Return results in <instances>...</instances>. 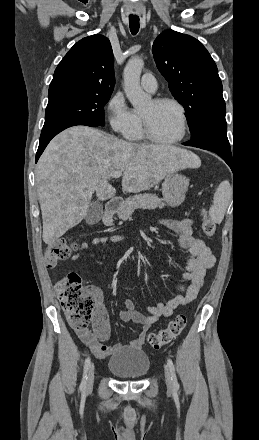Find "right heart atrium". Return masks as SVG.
I'll use <instances>...</instances> for the list:
<instances>
[{"mask_svg":"<svg viewBox=\"0 0 259 440\" xmlns=\"http://www.w3.org/2000/svg\"><path fill=\"white\" fill-rule=\"evenodd\" d=\"M106 117L113 132L127 136L136 123L134 111L121 92L110 97L105 106Z\"/></svg>","mask_w":259,"mask_h":440,"instance_id":"1","label":"right heart atrium"}]
</instances>
